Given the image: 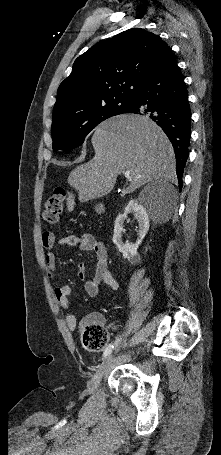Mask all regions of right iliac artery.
<instances>
[{"label":"right iliac artery","instance_id":"obj_1","mask_svg":"<svg viewBox=\"0 0 221 455\" xmlns=\"http://www.w3.org/2000/svg\"><path fill=\"white\" fill-rule=\"evenodd\" d=\"M113 348H114V345L113 344H109L107 346V348L105 349V351H104V354H103L104 357L108 356L112 352Z\"/></svg>","mask_w":221,"mask_h":455}]
</instances>
